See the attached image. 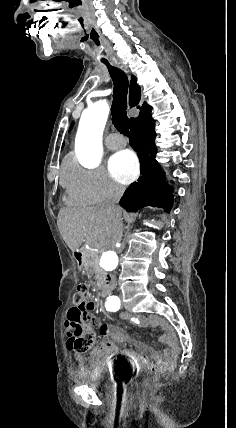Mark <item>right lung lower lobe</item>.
Returning <instances> with one entry per match:
<instances>
[{
	"mask_svg": "<svg viewBox=\"0 0 236 428\" xmlns=\"http://www.w3.org/2000/svg\"><path fill=\"white\" fill-rule=\"evenodd\" d=\"M155 120L151 113L136 121L131 128L130 144L140 160L141 177L125 191L119 204L130 212L145 206L163 208L169 212L173 205V188L167 185L164 171L155 160L157 149L154 138Z\"/></svg>",
	"mask_w": 236,
	"mask_h": 428,
	"instance_id": "98d812e1",
	"label": "right lung lower lobe"
}]
</instances>
